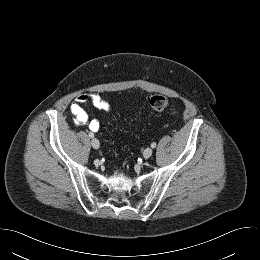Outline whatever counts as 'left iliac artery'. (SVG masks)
I'll list each match as a JSON object with an SVG mask.
<instances>
[{"label": "left iliac artery", "instance_id": "1", "mask_svg": "<svg viewBox=\"0 0 260 260\" xmlns=\"http://www.w3.org/2000/svg\"><path fill=\"white\" fill-rule=\"evenodd\" d=\"M151 147H152V148H155V147H156V143L153 142V143L151 144Z\"/></svg>", "mask_w": 260, "mask_h": 260}]
</instances>
